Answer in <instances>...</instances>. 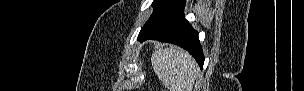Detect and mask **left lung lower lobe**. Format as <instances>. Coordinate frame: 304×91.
Here are the masks:
<instances>
[{
  "instance_id": "left-lung-lower-lobe-1",
  "label": "left lung lower lobe",
  "mask_w": 304,
  "mask_h": 91,
  "mask_svg": "<svg viewBox=\"0 0 304 91\" xmlns=\"http://www.w3.org/2000/svg\"><path fill=\"white\" fill-rule=\"evenodd\" d=\"M185 0H170L155 23L139 39L141 42L155 39L168 42L187 50L203 68L204 54L198 33L185 19L183 9Z\"/></svg>"
}]
</instances>
